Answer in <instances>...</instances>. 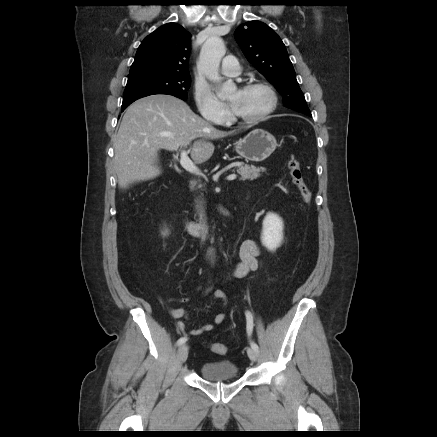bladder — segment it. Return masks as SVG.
Listing matches in <instances>:
<instances>
[{"label":"bladder","mask_w":437,"mask_h":437,"mask_svg":"<svg viewBox=\"0 0 437 437\" xmlns=\"http://www.w3.org/2000/svg\"><path fill=\"white\" fill-rule=\"evenodd\" d=\"M200 374L210 381L231 380L238 377L239 369L230 361L205 362L200 367Z\"/></svg>","instance_id":"obj_1"}]
</instances>
